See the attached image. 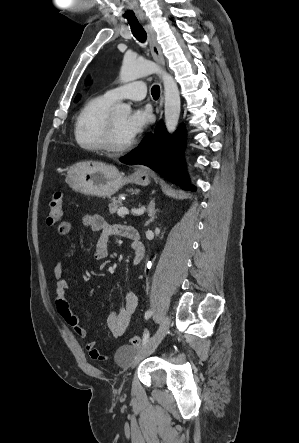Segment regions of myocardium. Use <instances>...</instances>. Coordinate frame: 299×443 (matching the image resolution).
<instances>
[{
	"label": "myocardium",
	"mask_w": 299,
	"mask_h": 443,
	"mask_svg": "<svg viewBox=\"0 0 299 443\" xmlns=\"http://www.w3.org/2000/svg\"><path fill=\"white\" fill-rule=\"evenodd\" d=\"M134 141L131 140L127 144L117 145L115 142V128L112 115L108 116L106 121L104 136H103V148L104 151L112 155H120L129 151L134 146Z\"/></svg>",
	"instance_id": "obj_1"
}]
</instances>
